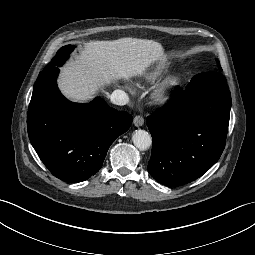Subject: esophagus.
I'll list each match as a JSON object with an SVG mask.
<instances>
[{
  "label": "esophagus",
  "instance_id": "esophagus-1",
  "mask_svg": "<svg viewBox=\"0 0 255 255\" xmlns=\"http://www.w3.org/2000/svg\"><path fill=\"white\" fill-rule=\"evenodd\" d=\"M133 123L136 127H140L144 124V118L140 115H137L135 116Z\"/></svg>",
  "mask_w": 255,
  "mask_h": 255
}]
</instances>
